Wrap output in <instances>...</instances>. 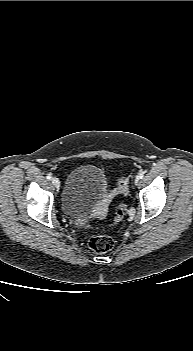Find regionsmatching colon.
<instances>
[{"label":"colon","instance_id":"5ec220e1","mask_svg":"<svg viewBox=\"0 0 193 351\" xmlns=\"http://www.w3.org/2000/svg\"><path fill=\"white\" fill-rule=\"evenodd\" d=\"M127 179L123 176L119 177L116 185V193L125 195L127 193ZM123 217V204L116 206L114 223H118ZM88 245L91 250L97 253H104L113 248L114 242L107 235H93L89 238Z\"/></svg>","mask_w":193,"mask_h":351}]
</instances>
